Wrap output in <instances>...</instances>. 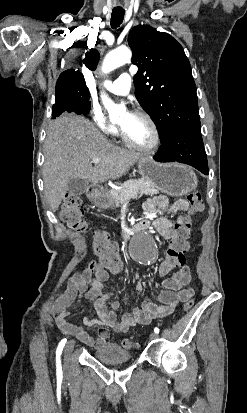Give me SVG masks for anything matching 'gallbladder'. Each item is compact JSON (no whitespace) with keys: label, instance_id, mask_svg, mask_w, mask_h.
Returning a JSON list of instances; mask_svg holds the SVG:
<instances>
[{"label":"gallbladder","instance_id":"1","mask_svg":"<svg viewBox=\"0 0 247 413\" xmlns=\"http://www.w3.org/2000/svg\"><path fill=\"white\" fill-rule=\"evenodd\" d=\"M86 188H88V180L86 178H70L68 182V190L71 196H79L83 194Z\"/></svg>","mask_w":247,"mask_h":413}]
</instances>
